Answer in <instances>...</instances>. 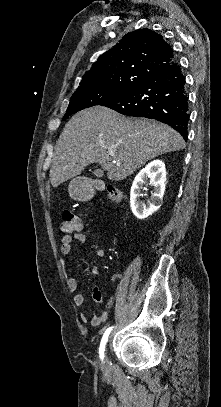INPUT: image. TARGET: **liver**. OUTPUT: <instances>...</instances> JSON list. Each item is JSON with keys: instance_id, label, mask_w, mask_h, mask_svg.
Returning <instances> with one entry per match:
<instances>
[{"instance_id": "liver-1", "label": "liver", "mask_w": 221, "mask_h": 407, "mask_svg": "<svg viewBox=\"0 0 221 407\" xmlns=\"http://www.w3.org/2000/svg\"><path fill=\"white\" fill-rule=\"evenodd\" d=\"M184 146L182 136L168 125L91 107L65 125L54 148L50 182L57 187L91 163H99L109 180L121 181L147 161Z\"/></svg>"}]
</instances>
